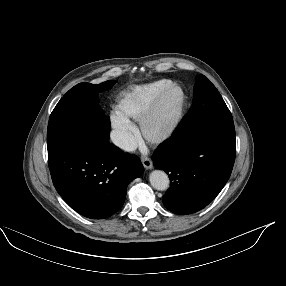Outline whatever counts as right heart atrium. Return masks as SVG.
I'll use <instances>...</instances> for the list:
<instances>
[{
	"label": "right heart atrium",
	"mask_w": 286,
	"mask_h": 286,
	"mask_svg": "<svg viewBox=\"0 0 286 286\" xmlns=\"http://www.w3.org/2000/svg\"><path fill=\"white\" fill-rule=\"evenodd\" d=\"M110 120L115 133L116 144L120 148L130 151L136 143V130L134 125L118 111L111 113Z\"/></svg>",
	"instance_id": "right-heart-atrium-1"
}]
</instances>
